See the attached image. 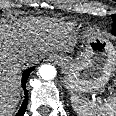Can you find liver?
<instances>
[{
  "label": "liver",
  "mask_w": 116,
  "mask_h": 116,
  "mask_svg": "<svg viewBox=\"0 0 116 116\" xmlns=\"http://www.w3.org/2000/svg\"><path fill=\"white\" fill-rule=\"evenodd\" d=\"M39 23L40 20L31 19L24 22L21 28L16 24L0 23V116H10L20 100L16 82L19 58L47 51L33 47L36 42L31 39V35Z\"/></svg>",
  "instance_id": "obj_1"
}]
</instances>
